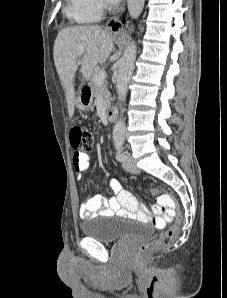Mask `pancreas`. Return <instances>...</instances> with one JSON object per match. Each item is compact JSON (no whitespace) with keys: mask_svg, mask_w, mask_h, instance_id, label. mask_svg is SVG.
I'll return each instance as SVG.
<instances>
[{"mask_svg":"<svg viewBox=\"0 0 227 298\" xmlns=\"http://www.w3.org/2000/svg\"><path fill=\"white\" fill-rule=\"evenodd\" d=\"M98 72H94L91 76V80H90L91 91H92L93 97L101 96L105 106L108 108L112 100L111 93L107 89V83H103L101 85H98L95 83L94 79Z\"/></svg>","mask_w":227,"mask_h":298,"instance_id":"cf45deb5","label":"pancreas"}]
</instances>
